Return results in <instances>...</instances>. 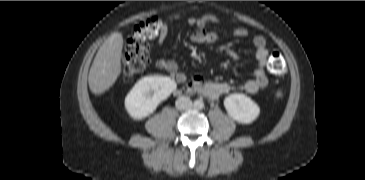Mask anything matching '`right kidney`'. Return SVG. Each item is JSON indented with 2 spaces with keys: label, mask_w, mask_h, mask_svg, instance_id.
Returning a JSON list of instances; mask_svg holds the SVG:
<instances>
[{
  "label": "right kidney",
  "mask_w": 365,
  "mask_h": 180,
  "mask_svg": "<svg viewBox=\"0 0 365 180\" xmlns=\"http://www.w3.org/2000/svg\"><path fill=\"white\" fill-rule=\"evenodd\" d=\"M176 82L167 76H146L140 79L125 98V109L131 118L143 119L176 90Z\"/></svg>",
  "instance_id": "obj_1"
}]
</instances>
